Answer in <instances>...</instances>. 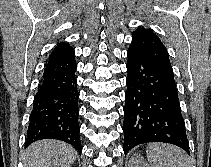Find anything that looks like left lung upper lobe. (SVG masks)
<instances>
[{
  "mask_svg": "<svg viewBox=\"0 0 211 167\" xmlns=\"http://www.w3.org/2000/svg\"><path fill=\"white\" fill-rule=\"evenodd\" d=\"M128 50L142 52L174 77L167 50L152 30L138 27L132 33V43Z\"/></svg>",
  "mask_w": 211,
  "mask_h": 167,
  "instance_id": "1",
  "label": "left lung upper lobe"
}]
</instances>
